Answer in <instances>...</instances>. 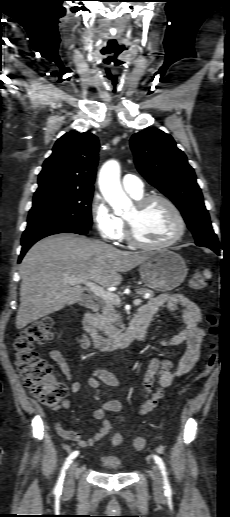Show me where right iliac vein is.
<instances>
[{
    "label": "right iliac vein",
    "instance_id": "obj_1",
    "mask_svg": "<svg viewBox=\"0 0 230 517\" xmlns=\"http://www.w3.org/2000/svg\"><path fill=\"white\" fill-rule=\"evenodd\" d=\"M79 473V470H78V462L77 461H73L67 471V474H66V478H65V482H64V487H63V492L64 493H70L73 491V488H74V479H75V476L78 475Z\"/></svg>",
    "mask_w": 230,
    "mask_h": 517
}]
</instances>
